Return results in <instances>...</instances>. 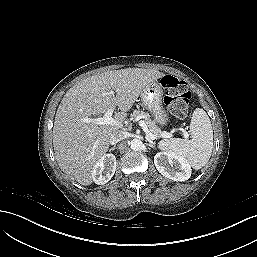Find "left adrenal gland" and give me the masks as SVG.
Listing matches in <instances>:
<instances>
[{
    "instance_id": "left-adrenal-gland-1",
    "label": "left adrenal gland",
    "mask_w": 257,
    "mask_h": 257,
    "mask_svg": "<svg viewBox=\"0 0 257 257\" xmlns=\"http://www.w3.org/2000/svg\"><path fill=\"white\" fill-rule=\"evenodd\" d=\"M148 146L151 147V148H154V142L151 141V142L148 144Z\"/></svg>"
}]
</instances>
